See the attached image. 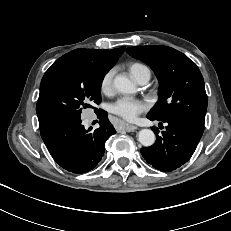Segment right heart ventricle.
Instances as JSON below:
<instances>
[{"label": "right heart ventricle", "instance_id": "e07e8e85", "mask_svg": "<svg viewBox=\"0 0 231 231\" xmlns=\"http://www.w3.org/2000/svg\"><path fill=\"white\" fill-rule=\"evenodd\" d=\"M128 70L130 72V74L132 75V77L135 79L136 76L143 70H149L147 66H145L142 63L139 62H134L129 64L128 66Z\"/></svg>", "mask_w": 231, "mask_h": 231}]
</instances>
